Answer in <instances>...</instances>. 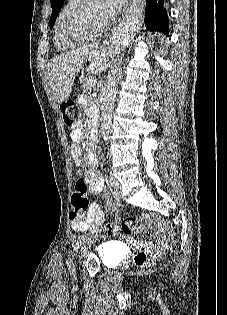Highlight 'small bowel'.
Instances as JSON below:
<instances>
[{
    "instance_id": "obj_1",
    "label": "small bowel",
    "mask_w": 227,
    "mask_h": 315,
    "mask_svg": "<svg viewBox=\"0 0 227 315\" xmlns=\"http://www.w3.org/2000/svg\"><path fill=\"white\" fill-rule=\"evenodd\" d=\"M70 138L72 141L71 145V156L74 161V167L78 176H83V180L89 186L91 193H100L103 190L104 182L98 172V162L94 147L89 144L87 150V162H83L81 159L82 147L80 145L83 139V129L81 125L77 124L72 127ZM107 202V208L115 212L116 208L110 204V198L108 194L104 195ZM105 219V214L102 208L98 204H92L84 219H73L71 218V227L75 231H88L92 230L95 225L102 223ZM163 229L167 232V236L159 237L154 243L151 244V251H158L170 245L173 241L174 234L171 226L168 223H163Z\"/></svg>"
}]
</instances>
